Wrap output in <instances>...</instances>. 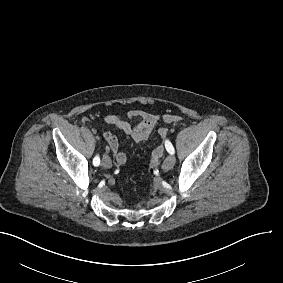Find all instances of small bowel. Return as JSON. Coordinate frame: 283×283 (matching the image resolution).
<instances>
[{
	"label": "small bowel",
	"instance_id": "obj_1",
	"mask_svg": "<svg viewBox=\"0 0 283 283\" xmlns=\"http://www.w3.org/2000/svg\"><path fill=\"white\" fill-rule=\"evenodd\" d=\"M104 122L111 125L125 134L129 135L135 142L140 143L147 140L150 135L161 128V122L171 123L178 122L181 118L178 115H165L143 111L131 110L125 117L108 114L104 117ZM132 122H136L133 124ZM104 138L109 146L110 151L113 153L116 163L119 166H124L127 162V156L124 152L119 150V141L117 136L112 132H106Z\"/></svg>",
	"mask_w": 283,
	"mask_h": 283
}]
</instances>
